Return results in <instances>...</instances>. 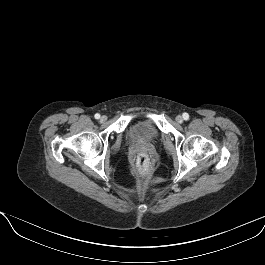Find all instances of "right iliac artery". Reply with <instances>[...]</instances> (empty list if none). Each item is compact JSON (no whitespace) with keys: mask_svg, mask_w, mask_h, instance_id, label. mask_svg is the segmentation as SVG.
I'll list each match as a JSON object with an SVG mask.
<instances>
[{"mask_svg":"<svg viewBox=\"0 0 265 265\" xmlns=\"http://www.w3.org/2000/svg\"><path fill=\"white\" fill-rule=\"evenodd\" d=\"M95 118H96V119H99V118H100V114H98V113L95 114Z\"/></svg>","mask_w":265,"mask_h":265,"instance_id":"1","label":"right iliac artery"}]
</instances>
